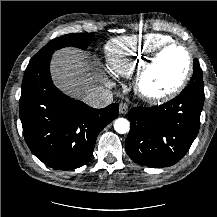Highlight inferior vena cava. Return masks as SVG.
Returning <instances> with one entry per match:
<instances>
[{
    "label": "inferior vena cava",
    "mask_w": 217,
    "mask_h": 217,
    "mask_svg": "<svg viewBox=\"0 0 217 217\" xmlns=\"http://www.w3.org/2000/svg\"><path fill=\"white\" fill-rule=\"evenodd\" d=\"M114 94L109 89L95 87L89 90L83 101L93 108H103L113 103Z\"/></svg>",
    "instance_id": "1"
}]
</instances>
